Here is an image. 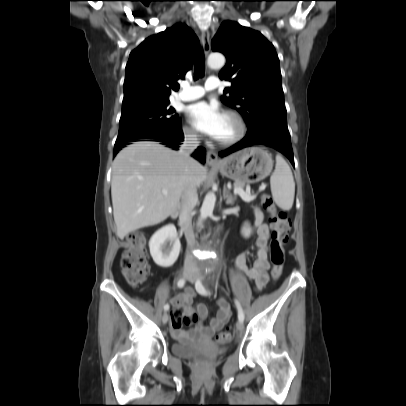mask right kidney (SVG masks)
<instances>
[{
  "label": "right kidney",
  "mask_w": 406,
  "mask_h": 406,
  "mask_svg": "<svg viewBox=\"0 0 406 406\" xmlns=\"http://www.w3.org/2000/svg\"><path fill=\"white\" fill-rule=\"evenodd\" d=\"M150 254L161 267L172 266L180 253V240L174 225L169 224L156 231L149 242Z\"/></svg>",
  "instance_id": "ca27d5eb"
}]
</instances>
